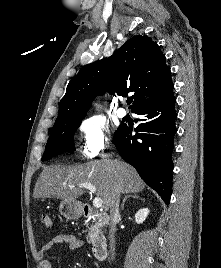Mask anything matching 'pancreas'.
<instances>
[{"label": "pancreas", "instance_id": "pancreas-1", "mask_svg": "<svg viewBox=\"0 0 221 268\" xmlns=\"http://www.w3.org/2000/svg\"><path fill=\"white\" fill-rule=\"evenodd\" d=\"M94 224L87 227V239L93 243L102 234V224L94 218Z\"/></svg>", "mask_w": 221, "mask_h": 268}]
</instances>
